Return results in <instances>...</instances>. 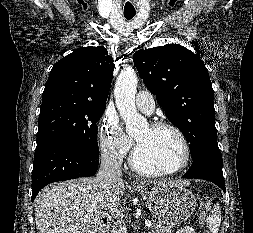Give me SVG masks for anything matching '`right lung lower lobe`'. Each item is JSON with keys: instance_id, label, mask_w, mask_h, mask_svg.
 I'll use <instances>...</instances> for the list:
<instances>
[{"instance_id": "obj_1", "label": "right lung lower lobe", "mask_w": 253, "mask_h": 233, "mask_svg": "<svg viewBox=\"0 0 253 233\" xmlns=\"http://www.w3.org/2000/svg\"><path fill=\"white\" fill-rule=\"evenodd\" d=\"M98 164L99 152L69 143L49 141L37 146L32 172V201L51 182L93 176Z\"/></svg>"}]
</instances>
